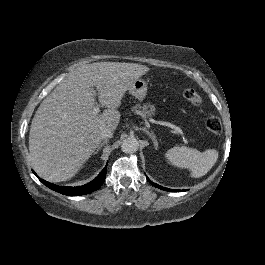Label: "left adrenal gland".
I'll use <instances>...</instances> for the list:
<instances>
[{
  "label": "left adrenal gland",
  "instance_id": "a2214340",
  "mask_svg": "<svg viewBox=\"0 0 265 265\" xmlns=\"http://www.w3.org/2000/svg\"><path fill=\"white\" fill-rule=\"evenodd\" d=\"M139 129H141L142 131L146 132L149 135V137L151 138V140H152V142L154 144V147L156 148V141H155L154 131L151 130V129H148V128H141V127Z\"/></svg>",
  "mask_w": 265,
  "mask_h": 265
}]
</instances>
